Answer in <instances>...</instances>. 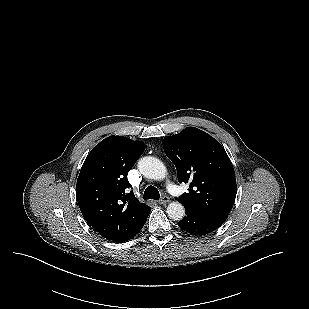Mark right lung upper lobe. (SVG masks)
<instances>
[{"mask_svg":"<svg viewBox=\"0 0 309 309\" xmlns=\"http://www.w3.org/2000/svg\"><path fill=\"white\" fill-rule=\"evenodd\" d=\"M145 150L140 141L110 136L97 144L81 168L76 196L86 221L102 237L118 241L138 230L151 207L131 191L127 174Z\"/></svg>","mask_w":309,"mask_h":309,"instance_id":"1","label":"right lung upper lobe"}]
</instances>
